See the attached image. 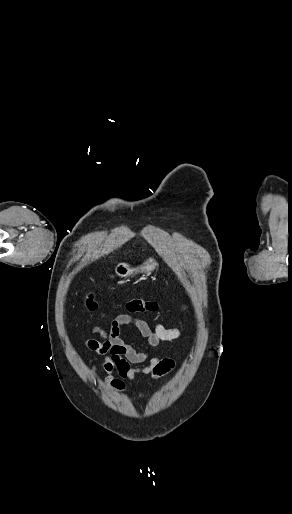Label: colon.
I'll return each mask as SVG.
<instances>
[{
  "label": "colon",
  "mask_w": 292,
  "mask_h": 514,
  "mask_svg": "<svg viewBox=\"0 0 292 514\" xmlns=\"http://www.w3.org/2000/svg\"><path fill=\"white\" fill-rule=\"evenodd\" d=\"M89 310H96L97 306L93 299L86 302ZM126 310L129 313H151L158 310V303L154 300L133 297L126 303Z\"/></svg>",
  "instance_id": "obj_1"
}]
</instances>
